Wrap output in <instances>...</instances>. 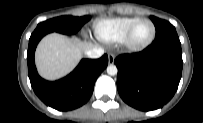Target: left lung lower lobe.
<instances>
[{
    "mask_svg": "<svg viewBox=\"0 0 203 123\" xmlns=\"http://www.w3.org/2000/svg\"><path fill=\"white\" fill-rule=\"evenodd\" d=\"M114 63L121 98L138 110H155L177 91L183 67L181 43L176 31H169L143 51L120 55Z\"/></svg>",
    "mask_w": 203,
    "mask_h": 123,
    "instance_id": "0a47b994",
    "label": "left lung lower lobe"
}]
</instances>
